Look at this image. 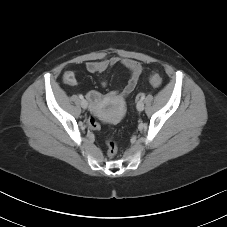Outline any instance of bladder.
<instances>
[{
  "mask_svg": "<svg viewBox=\"0 0 227 227\" xmlns=\"http://www.w3.org/2000/svg\"><path fill=\"white\" fill-rule=\"evenodd\" d=\"M99 116H101V113H98ZM103 118L107 120L108 122H114L117 119V115L113 114H104Z\"/></svg>",
  "mask_w": 227,
  "mask_h": 227,
  "instance_id": "obj_1",
  "label": "bladder"
}]
</instances>
